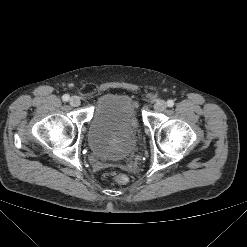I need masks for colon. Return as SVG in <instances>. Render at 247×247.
Masks as SVG:
<instances>
[{
  "instance_id": "5ec220e1",
  "label": "colon",
  "mask_w": 247,
  "mask_h": 247,
  "mask_svg": "<svg viewBox=\"0 0 247 247\" xmlns=\"http://www.w3.org/2000/svg\"><path fill=\"white\" fill-rule=\"evenodd\" d=\"M114 179H115V182L120 185L126 184L129 181L128 176L125 174H117L115 175Z\"/></svg>"
}]
</instances>
